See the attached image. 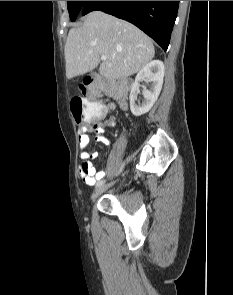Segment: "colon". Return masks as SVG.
<instances>
[{"instance_id": "obj_1", "label": "colon", "mask_w": 233, "mask_h": 295, "mask_svg": "<svg viewBox=\"0 0 233 295\" xmlns=\"http://www.w3.org/2000/svg\"><path fill=\"white\" fill-rule=\"evenodd\" d=\"M129 85L127 81L86 77L80 85L82 97L71 100L73 117L80 123L101 115L103 108L95 100L103 94H122L128 90Z\"/></svg>"}]
</instances>
